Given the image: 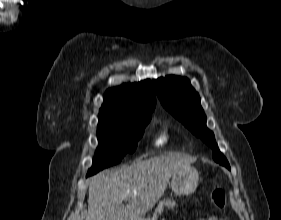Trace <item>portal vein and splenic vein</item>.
I'll return each mask as SVG.
<instances>
[{
  "mask_svg": "<svg viewBox=\"0 0 281 220\" xmlns=\"http://www.w3.org/2000/svg\"><path fill=\"white\" fill-rule=\"evenodd\" d=\"M135 193V192H134ZM132 194L130 191H127V195L124 197V199H127L129 195Z\"/></svg>",
  "mask_w": 281,
  "mask_h": 220,
  "instance_id": "1",
  "label": "portal vein and splenic vein"
}]
</instances>
